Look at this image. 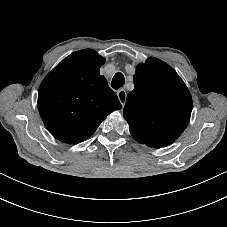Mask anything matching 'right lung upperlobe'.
Masks as SVG:
<instances>
[{
	"instance_id": "cb5924a9",
	"label": "right lung upper lobe",
	"mask_w": 227,
	"mask_h": 227,
	"mask_svg": "<svg viewBox=\"0 0 227 227\" xmlns=\"http://www.w3.org/2000/svg\"><path fill=\"white\" fill-rule=\"evenodd\" d=\"M105 59L92 49L72 53L42 81L38 110L49 132L75 144L88 139L114 110L121 109L115 92L100 75Z\"/></svg>"
}]
</instances>
